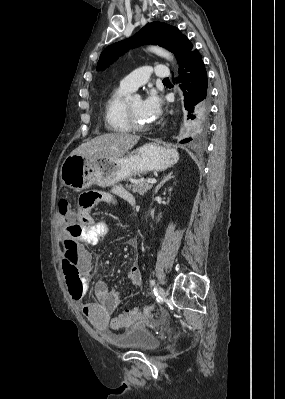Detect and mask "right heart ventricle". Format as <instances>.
Here are the masks:
<instances>
[{
  "label": "right heart ventricle",
  "mask_w": 285,
  "mask_h": 399,
  "mask_svg": "<svg viewBox=\"0 0 285 399\" xmlns=\"http://www.w3.org/2000/svg\"><path fill=\"white\" fill-rule=\"evenodd\" d=\"M130 91L119 86L115 88L104 104V120L107 128L115 133H127L132 129L126 116L125 96Z\"/></svg>",
  "instance_id": "e07e8e85"
}]
</instances>
